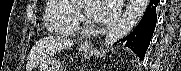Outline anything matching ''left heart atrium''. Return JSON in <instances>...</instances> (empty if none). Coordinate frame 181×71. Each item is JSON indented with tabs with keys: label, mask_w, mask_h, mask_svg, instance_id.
Masks as SVG:
<instances>
[{
	"label": "left heart atrium",
	"mask_w": 181,
	"mask_h": 71,
	"mask_svg": "<svg viewBox=\"0 0 181 71\" xmlns=\"http://www.w3.org/2000/svg\"><path fill=\"white\" fill-rule=\"evenodd\" d=\"M95 2L94 10L89 8V14L92 20L100 24L112 22L120 11V0H102Z\"/></svg>",
	"instance_id": "39dd6f15"
}]
</instances>
